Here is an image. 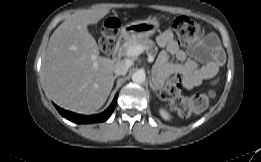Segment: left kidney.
<instances>
[{"mask_svg":"<svg viewBox=\"0 0 261 162\" xmlns=\"http://www.w3.org/2000/svg\"><path fill=\"white\" fill-rule=\"evenodd\" d=\"M159 113L164 120H170L171 119V115L165 109H160Z\"/></svg>","mask_w":261,"mask_h":162,"instance_id":"1","label":"left kidney"}]
</instances>
